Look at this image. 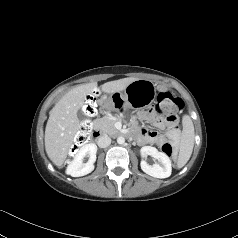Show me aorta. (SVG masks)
<instances>
[{"mask_svg":"<svg viewBox=\"0 0 238 238\" xmlns=\"http://www.w3.org/2000/svg\"><path fill=\"white\" fill-rule=\"evenodd\" d=\"M117 143H118V144H124V143H125V138L122 137V136L118 137V138H117Z\"/></svg>","mask_w":238,"mask_h":238,"instance_id":"762f6f07","label":"aorta"}]
</instances>
